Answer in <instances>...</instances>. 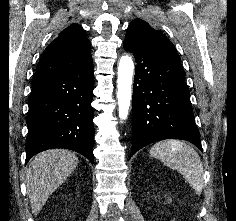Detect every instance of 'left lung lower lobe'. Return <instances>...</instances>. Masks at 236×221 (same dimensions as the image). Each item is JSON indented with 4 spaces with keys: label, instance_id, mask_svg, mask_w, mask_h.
Instances as JSON below:
<instances>
[{
    "label": "left lung lower lobe",
    "instance_id": "1",
    "mask_svg": "<svg viewBox=\"0 0 236 221\" xmlns=\"http://www.w3.org/2000/svg\"><path fill=\"white\" fill-rule=\"evenodd\" d=\"M123 46L133 53L137 63L130 157L139 149L164 139L186 140L202 151L180 60L134 37H126Z\"/></svg>",
    "mask_w": 236,
    "mask_h": 221
}]
</instances>
